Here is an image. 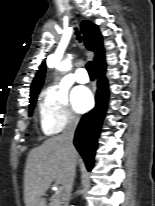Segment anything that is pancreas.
Wrapping results in <instances>:
<instances>
[{"mask_svg": "<svg viewBox=\"0 0 155 206\" xmlns=\"http://www.w3.org/2000/svg\"><path fill=\"white\" fill-rule=\"evenodd\" d=\"M63 195L56 193L49 198V206H62L63 204Z\"/></svg>", "mask_w": 155, "mask_h": 206, "instance_id": "obj_1", "label": "pancreas"}]
</instances>
